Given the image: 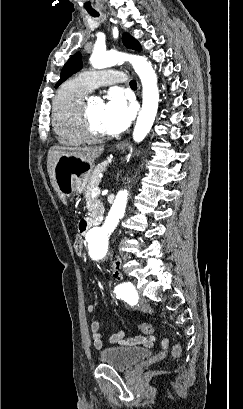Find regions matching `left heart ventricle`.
I'll return each mask as SVG.
<instances>
[{"mask_svg": "<svg viewBox=\"0 0 243 409\" xmlns=\"http://www.w3.org/2000/svg\"><path fill=\"white\" fill-rule=\"evenodd\" d=\"M104 103L99 100H93L88 102V113L90 121L94 130L99 133L104 134L103 124H102V113L104 109Z\"/></svg>", "mask_w": 243, "mask_h": 409, "instance_id": "b2bd125f", "label": "left heart ventricle"}]
</instances>
